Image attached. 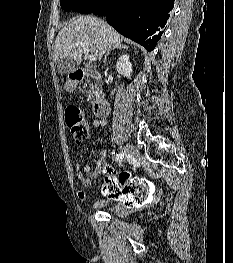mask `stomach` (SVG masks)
<instances>
[{"mask_svg":"<svg viewBox=\"0 0 233 263\" xmlns=\"http://www.w3.org/2000/svg\"><path fill=\"white\" fill-rule=\"evenodd\" d=\"M75 86H76V84L74 82L70 81V80H68L66 82V89H67V91L74 90Z\"/></svg>","mask_w":233,"mask_h":263,"instance_id":"stomach-1","label":"stomach"}]
</instances>
